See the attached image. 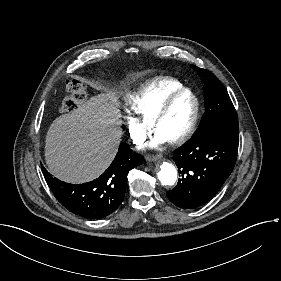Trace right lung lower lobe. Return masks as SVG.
I'll use <instances>...</instances> for the list:
<instances>
[{
  "label": "right lung lower lobe",
  "mask_w": 281,
  "mask_h": 281,
  "mask_svg": "<svg viewBox=\"0 0 281 281\" xmlns=\"http://www.w3.org/2000/svg\"><path fill=\"white\" fill-rule=\"evenodd\" d=\"M142 156L121 144L109 168L97 179L84 184H69L52 177L42 168L44 177L57 200L70 212L97 219L115 211L123 201L128 172L142 164Z\"/></svg>",
  "instance_id": "1"
}]
</instances>
